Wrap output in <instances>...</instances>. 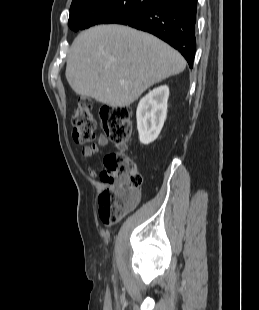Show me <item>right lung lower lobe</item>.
Returning <instances> with one entry per match:
<instances>
[{
  "label": "right lung lower lobe",
  "instance_id": "obj_1",
  "mask_svg": "<svg viewBox=\"0 0 259 310\" xmlns=\"http://www.w3.org/2000/svg\"><path fill=\"white\" fill-rule=\"evenodd\" d=\"M196 12L197 0H154L116 23L154 34L177 49L192 68L196 50Z\"/></svg>",
  "mask_w": 259,
  "mask_h": 310
}]
</instances>
